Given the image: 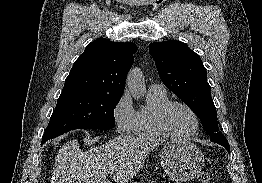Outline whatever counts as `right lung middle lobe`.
<instances>
[{
  "label": "right lung middle lobe",
  "instance_id": "dd1d6c3e",
  "mask_svg": "<svg viewBox=\"0 0 262 183\" xmlns=\"http://www.w3.org/2000/svg\"><path fill=\"white\" fill-rule=\"evenodd\" d=\"M121 95L75 91L61 93L42 139L58 137L74 129H111L114 108Z\"/></svg>",
  "mask_w": 262,
  "mask_h": 183
}]
</instances>
